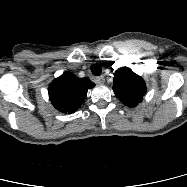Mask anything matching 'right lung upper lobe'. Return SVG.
I'll list each match as a JSON object with an SVG mask.
<instances>
[{"instance_id": "right-lung-upper-lobe-1", "label": "right lung upper lobe", "mask_w": 187, "mask_h": 187, "mask_svg": "<svg viewBox=\"0 0 187 187\" xmlns=\"http://www.w3.org/2000/svg\"><path fill=\"white\" fill-rule=\"evenodd\" d=\"M95 86L88 78H78L71 73H63L49 87V97L56 109L64 113H74L86 98L88 89Z\"/></svg>"}]
</instances>
